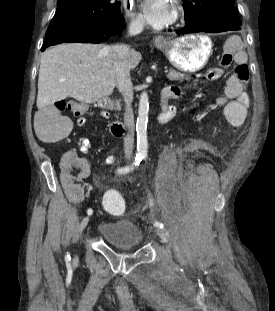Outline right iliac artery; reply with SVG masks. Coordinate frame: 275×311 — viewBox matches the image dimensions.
I'll return each instance as SVG.
<instances>
[{
  "label": "right iliac artery",
  "instance_id": "obj_1",
  "mask_svg": "<svg viewBox=\"0 0 275 311\" xmlns=\"http://www.w3.org/2000/svg\"><path fill=\"white\" fill-rule=\"evenodd\" d=\"M142 159H143V154H141V153L136 154V157H135L133 163H132L130 166L118 168V169L116 170V173H118V174H126V173L132 171V170L134 169L135 166L139 165V163L142 161ZM87 213H88V215H92L93 210H92V209H88V210H87ZM65 259H66L67 261H69V260L71 259L70 255L67 254V255L65 256Z\"/></svg>",
  "mask_w": 275,
  "mask_h": 311
}]
</instances>
